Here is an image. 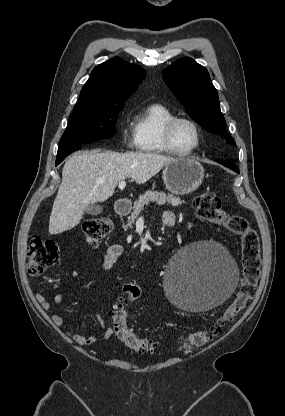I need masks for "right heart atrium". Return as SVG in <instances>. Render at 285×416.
<instances>
[{
  "instance_id": "right-heart-atrium-1",
  "label": "right heart atrium",
  "mask_w": 285,
  "mask_h": 416,
  "mask_svg": "<svg viewBox=\"0 0 285 416\" xmlns=\"http://www.w3.org/2000/svg\"><path fill=\"white\" fill-rule=\"evenodd\" d=\"M125 122V128L122 133L125 146L130 149L137 148V136L132 117L128 115Z\"/></svg>"
}]
</instances>
